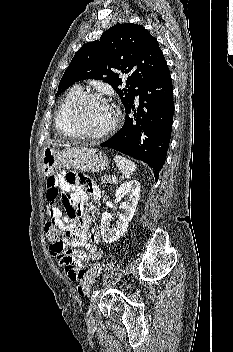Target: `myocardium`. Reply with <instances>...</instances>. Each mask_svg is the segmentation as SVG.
I'll return each instance as SVG.
<instances>
[{
    "instance_id": "1",
    "label": "myocardium",
    "mask_w": 233,
    "mask_h": 352,
    "mask_svg": "<svg viewBox=\"0 0 233 352\" xmlns=\"http://www.w3.org/2000/svg\"><path fill=\"white\" fill-rule=\"evenodd\" d=\"M90 99H99V100L106 101L111 105L113 109L114 116H113L112 122L108 127H106L104 130L100 132H95V133L84 132V131H81L76 124V115L79 107L82 105V103ZM119 119H120V111L117 105L113 103L108 97L97 92L81 93L71 104L67 115V122L71 132L73 133L74 137L81 138V139H101V138L107 137L116 129L119 123Z\"/></svg>"
}]
</instances>
